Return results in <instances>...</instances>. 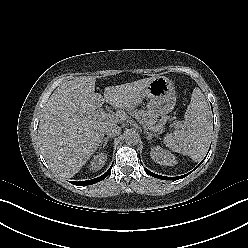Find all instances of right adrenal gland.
Masks as SVG:
<instances>
[{
	"instance_id": "1",
	"label": "right adrenal gland",
	"mask_w": 248,
	"mask_h": 248,
	"mask_svg": "<svg viewBox=\"0 0 248 248\" xmlns=\"http://www.w3.org/2000/svg\"><path fill=\"white\" fill-rule=\"evenodd\" d=\"M110 138H111V137L108 136V137H105L104 139H102L101 144H100V148H101L102 146H103V148H105Z\"/></svg>"
}]
</instances>
